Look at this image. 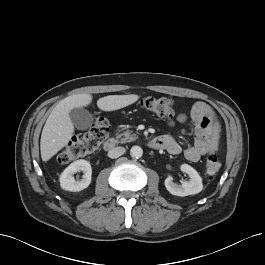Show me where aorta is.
<instances>
[{"mask_svg":"<svg viewBox=\"0 0 265 265\" xmlns=\"http://www.w3.org/2000/svg\"><path fill=\"white\" fill-rule=\"evenodd\" d=\"M130 155L133 158H140L143 155V149L140 146H133L130 150Z\"/></svg>","mask_w":265,"mask_h":265,"instance_id":"aorta-1","label":"aorta"}]
</instances>
